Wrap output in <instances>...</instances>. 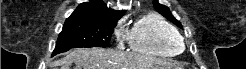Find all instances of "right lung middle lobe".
Instances as JSON below:
<instances>
[{
	"mask_svg": "<svg viewBox=\"0 0 246 69\" xmlns=\"http://www.w3.org/2000/svg\"><path fill=\"white\" fill-rule=\"evenodd\" d=\"M117 21L72 20L66 21L59 34L52 56L71 48L107 47Z\"/></svg>",
	"mask_w": 246,
	"mask_h": 69,
	"instance_id": "dd1d6c3e",
	"label": "right lung middle lobe"
}]
</instances>
